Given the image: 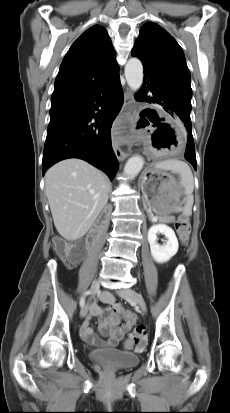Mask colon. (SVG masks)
<instances>
[{"instance_id": "1", "label": "colon", "mask_w": 230, "mask_h": 413, "mask_svg": "<svg viewBox=\"0 0 230 413\" xmlns=\"http://www.w3.org/2000/svg\"><path fill=\"white\" fill-rule=\"evenodd\" d=\"M176 231L178 233L177 243L187 246V238L190 233V226L185 217H180L176 222ZM54 250L59 256L65 258L69 265H73L82 257L85 251V246L83 243L73 244L68 243L64 240H56L54 242ZM114 307L119 309V302L117 300H115L114 302ZM145 335V328L141 325H138L130 334V342L135 345H139L144 341Z\"/></svg>"}]
</instances>
